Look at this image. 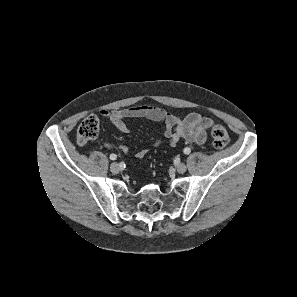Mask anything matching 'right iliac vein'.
Returning <instances> with one entry per match:
<instances>
[{"label":"right iliac vein","mask_w":297,"mask_h":297,"mask_svg":"<svg viewBox=\"0 0 297 297\" xmlns=\"http://www.w3.org/2000/svg\"><path fill=\"white\" fill-rule=\"evenodd\" d=\"M110 170H111V172L114 173V174L119 173V171H120V166H119V164H118V163H115V162L112 163L111 166H110Z\"/></svg>","instance_id":"obj_1"}]
</instances>
